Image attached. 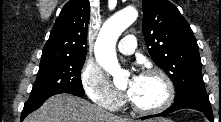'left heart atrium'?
I'll list each match as a JSON object with an SVG mask.
<instances>
[{
  "instance_id": "1",
  "label": "left heart atrium",
  "mask_w": 221,
  "mask_h": 122,
  "mask_svg": "<svg viewBox=\"0 0 221 122\" xmlns=\"http://www.w3.org/2000/svg\"><path fill=\"white\" fill-rule=\"evenodd\" d=\"M139 78L140 76H133L132 80H131V86L130 88L128 89V95L131 96L133 91H134V88L136 86V84L138 83L139 81Z\"/></svg>"
}]
</instances>
